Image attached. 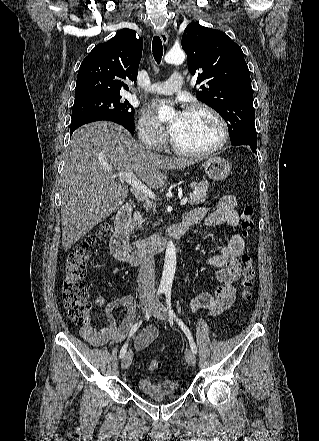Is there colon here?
Segmentation results:
<instances>
[{"instance_id":"1","label":"colon","mask_w":319,"mask_h":441,"mask_svg":"<svg viewBox=\"0 0 319 441\" xmlns=\"http://www.w3.org/2000/svg\"><path fill=\"white\" fill-rule=\"evenodd\" d=\"M253 213L252 205L245 202L240 213L242 234L245 238L251 236L255 226ZM107 230L108 225H102L95 234L87 236L76 246L66 259L62 284L63 302L68 318L78 325L87 326L89 324L93 307L84 280L85 268L89 257L94 252L98 239ZM242 262L244 268L241 279V298L243 301H249L251 299V290L254 286L256 272L253 258L247 249L242 255ZM146 365L149 371L156 372L161 368L162 363L159 359H151Z\"/></svg>"}]
</instances>
